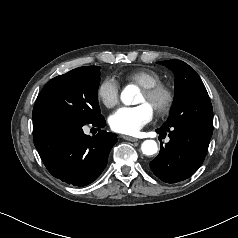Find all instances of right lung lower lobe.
Returning a JSON list of instances; mask_svg holds the SVG:
<instances>
[{
    "instance_id": "right-lung-lower-lobe-1",
    "label": "right lung lower lobe",
    "mask_w": 238,
    "mask_h": 238,
    "mask_svg": "<svg viewBox=\"0 0 238 238\" xmlns=\"http://www.w3.org/2000/svg\"><path fill=\"white\" fill-rule=\"evenodd\" d=\"M104 127V117L92 123L66 118L33 120V140L48 171L74 186H85L104 170L117 135L100 131L95 136L84 134L83 126Z\"/></svg>"
}]
</instances>
